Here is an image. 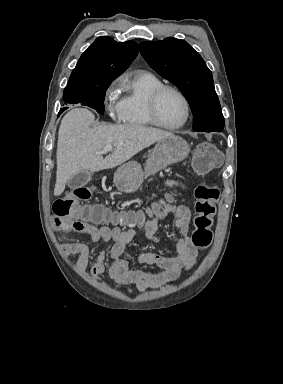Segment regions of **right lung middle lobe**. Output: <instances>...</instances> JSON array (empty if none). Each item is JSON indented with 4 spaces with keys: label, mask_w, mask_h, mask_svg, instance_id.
I'll list each match as a JSON object with an SVG mask.
<instances>
[{
    "label": "right lung middle lobe",
    "mask_w": 283,
    "mask_h": 384,
    "mask_svg": "<svg viewBox=\"0 0 283 384\" xmlns=\"http://www.w3.org/2000/svg\"><path fill=\"white\" fill-rule=\"evenodd\" d=\"M111 83L91 85L86 87L65 88L63 94L64 105L81 103L104 114V99L107 88ZM68 107L61 109L64 111Z\"/></svg>",
    "instance_id": "1"
}]
</instances>
